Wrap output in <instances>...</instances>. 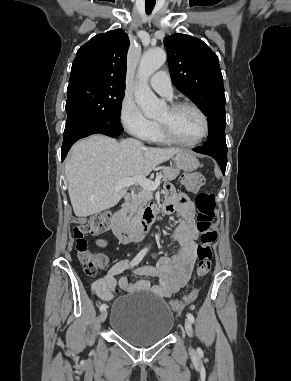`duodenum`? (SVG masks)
<instances>
[{"instance_id": "duodenum-1", "label": "duodenum", "mask_w": 291, "mask_h": 381, "mask_svg": "<svg viewBox=\"0 0 291 381\" xmlns=\"http://www.w3.org/2000/svg\"><path fill=\"white\" fill-rule=\"evenodd\" d=\"M124 204L117 209L111 220V227L114 234L119 238L122 243L138 242L145 238L146 234L150 230L152 224L164 211V205H150L143 214L142 219L137 224H129L125 219V211L127 205L132 200L131 194L125 195Z\"/></svg>"}]
</instances>
